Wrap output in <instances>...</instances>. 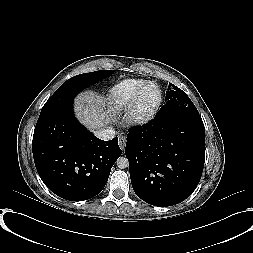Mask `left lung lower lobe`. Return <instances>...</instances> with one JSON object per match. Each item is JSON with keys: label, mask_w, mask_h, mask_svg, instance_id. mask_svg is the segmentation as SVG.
I'll use <instances>...</instances> for the list:
<instances>
[{"label": "left lung lower lobe", "mask_w": 253, "mask_h": 253, "mask_svg": "<svg viewBox=\"0 0 253 253\" xmlns=\"http://www.w3.org/2000/svg\"><path fill=\"white\" fill-rule=\"evenodd\" d=\"M125 154L132 187L154 206L185 200L197 187L205 160L200 115H169L129 129Z\"/></svg>", "instance_id": "1"}]
</instances>
